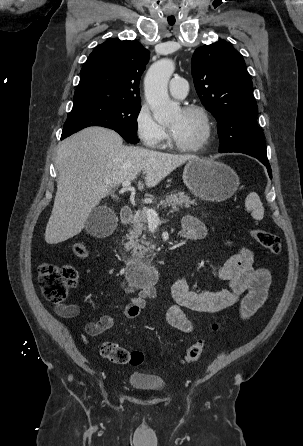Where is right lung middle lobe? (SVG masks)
<instances>
[{"mask_svg":"<svg viewBox=\"0 0 303 446\" xmlns=\"http://www.w3.org/2000/svg\"><path fill=\"white\" fill-rule=\"evenodd\" d=\"M139 103L100 102L72 109L63 127L62 138L89 126H102L118 132L126 141L138 143Z\"/></svg>","mask_w":303,"mask_h":446,"instance_id":"dd1d6c3e","label":"right lung middle lobe"}]
</instances>
